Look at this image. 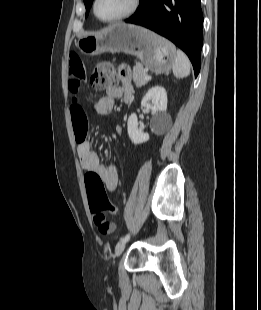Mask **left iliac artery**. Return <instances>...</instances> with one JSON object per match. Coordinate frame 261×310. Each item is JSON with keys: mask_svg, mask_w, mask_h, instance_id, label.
I'll list each match as a JSON object with an SVG mask.
<instances>
[{"mask_svg": "<svg viewBox=\"0 0 261 310\" xmlns=\"http://www.w3.org/2000/svg\"><path fill=\"white\" fill-rule=\"evenodd\" d=\"M129 238H130V235L129 234H127L126 236H124V237H122L121 238V240H123V241H128L129 240Z\"/></svg>", "mask_w": 261, "mask_h": 310, "instance_id": "obj_1", "label": "left iliac artery"}]
</instances>
